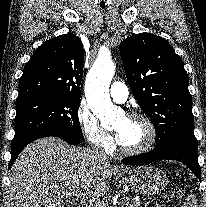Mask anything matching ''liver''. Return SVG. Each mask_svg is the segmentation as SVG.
Returning a JSON list of instances; mask_svg holds the SVG:
<instances>
[{
    "label": "liver",
    "instance_id": "liver-1",
    "mask_svg": "<svg viewBox=\"0 0 206 207\" xmlns=\"http://www.w3.org/2000/svg\"><path fill=\"white\" fill-rule=\"evenodd\" d=\"M133 170L112 166L92 150L71 146L60 138H41L25 147L11 167V205L64 207V192L74 190L83 197L100 198L109 190L106 178Z\"/></svg>",
    "mask_w": 206,
    "mask_h": 207
}]
</instances>
